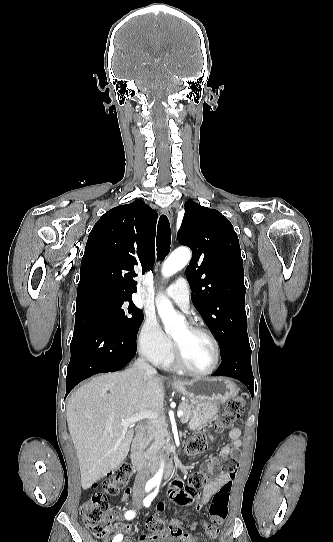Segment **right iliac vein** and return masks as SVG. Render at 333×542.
Returning a JSON list of instances; mask_svg holds the SVG:
<instances>
[{
    "label": "right iliac vein",
    "mask_w": 333,
    "mask_h": 542,
    "mask_svg": "<svg viewBox=\"0 0 333 542\" xmlns=\"http://www.w3.org/2000/svg\"><path fill=\"white\" fill-rule=\"evenodd\" d=\"M142 495H136L135 498L137 499L138 497L140 498Z\"/></svg>",
    "instance_id": "63e3f726"
}]
</instances>
